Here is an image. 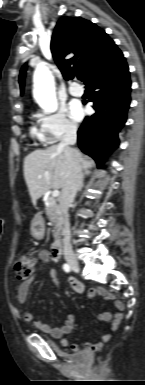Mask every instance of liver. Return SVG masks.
I'll return each instance as SVG.
<instances>
[{
  "mask_svg": "<svg viewBox=\"0 0 145 385\" xmlns=\"http://www.w3.org/2000/svg\"><path fill=\"white\" fill-rule=\"evenodd\" d=\"M81 170L89 174L93 160L83 158L75 149ZM68 151L59 145H52L45 150H35L24 159V178L33 205L37 199L51 188L61 189L68 176ZM41 176V178H39Z\"/></svg>",
  "mask_w": 145,
  "mask_h": 385,
  "instance_id": "obj_1",
  "label": "liver"
}]
</instances>
